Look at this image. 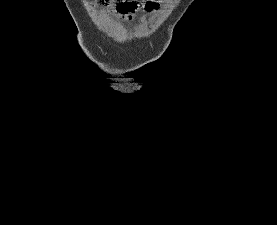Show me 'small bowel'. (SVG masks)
<instances>
[{
  "label": "small bowel",
  "mask_w": 277,
  "mask_h": 225,
  "mask_svg": "<svg viewBox=\"0 0 277 225\" xmlns=\"http://www.w3.org/2000/svg\"><path fill=\"white\" fill-rule=\"evenodd\" d=\"M157 5H158V4L151 2L150 5H149V7H148V10H151V11H152V10L157 9V7H158ZM126 18H127V19H132V15H127Z\"/></svg>",
  "instance_id": "obj_1"
}]
</instances>
